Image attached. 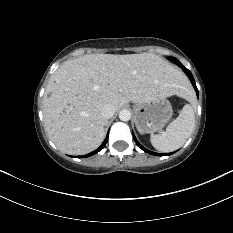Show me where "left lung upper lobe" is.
<instances>
[{
	"mask_svg": "<svg viewBox=\"0 0 233 233\" xmlns=\"http://www.w3.org/2000/svg\"><path fill=\"white\" fill-rule=\"evenodd\" d=\"M168 59L171 60L172 62H174V60H176V58H173V57H169Z\"/></svg>",
	"mask_w": 233,
	"mask_h": 233,
	"instance_id": "5c2ea615",
	"label": "left lung upper lobe"
}]
</instances>
